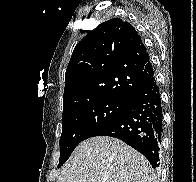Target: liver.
I'll use <instances>...</instances> for the list:
<instances>
[{"mask_svg":"<svg viewBox=\"0 0 196 182\" xmlns=\"http://www.w3.org/2000/svg\"><path fill=\"white\" fill-rule=\"evenodd\" d=\"M57 182H157L147 159L124 142L105 136L80 143Z\"/></svg>","mask_w":196,"mask_h":182,"instance_id":"obj_1","label":"liver"}]
</instances>
